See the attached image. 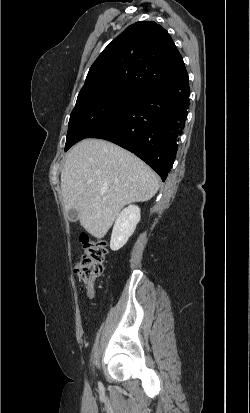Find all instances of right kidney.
Returning <instances> with one entry per match:
<instances>
[{"label":"right kidney","mask_w":250,"mask_h":413,"mask_svg":"<svg viewBox=\"0 0 250 413\" xmlns=\"http://www.w3.org/2000/svg\"><path fill=\"white\" fill-rule=\"evenodd\" d=\"M140 221V208L129 205L118 215L111 235L110 248L117 251L122 248L129 237L134 233L136 225Z\"/></svg>","instance_id":"right-kidney-1"}]
</instances>
